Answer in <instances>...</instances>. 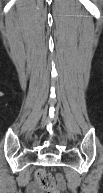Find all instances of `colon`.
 <instances>
[{
  "mask_svg": "<svg viewBox=\"0 0 103 193\" xmlns=\"http://www.w3.org/2000/svg\"><path fill=\"white\" fill-rule=\"evenodd\" d=\"M36 178L44 189L50 190L52 193H58L55 190V178L49 172L39 169L36 172Z\"/></svg>",
  "mask_w": 103,
  "mask_h": 193,
  "instance_id": "obj_1",
  "label": "colon"
}]
</instances>
